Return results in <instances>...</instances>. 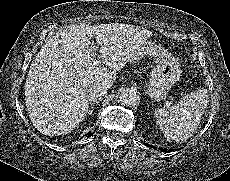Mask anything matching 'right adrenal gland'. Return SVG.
<instances>
[{
    "label": "right adrenal gland",
    "instance_id": "right-adrenal-gland-1",
    "mask_svg": "<svg viewBox=\"0 0 230 181\" xmlns=\"http://www.w3.org/2000/svg\"><path fill=\"white\" fill-rule=\"evenodd\" d=\"M96 103H98L97 101H94V102H92L91 103V105H90V109H89V111H88V114H92L93 113V110H94V105L96 104Z\"/></svg>",
    "mask_w": 230,
    "mask_h": 181
}]
</instances>
